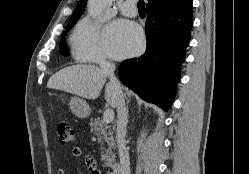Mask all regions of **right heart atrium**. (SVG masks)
Instances as JSON below:
<instances>
[{"label":"right heart atrium","mask_w":249,"mask_h":174,"mask_svg":"<svg viewBox=\"0 0 249 174\" xmlns=\"http://www.w3.org/2000/svg\"><path fill=\"white\" fill-rule=\"evenodd\" d=\"M104 26L101 21L84 18L76 27L73 37V54L78 61L105 63L109 61L103 44Z\"/></svg>","instance_id":"right-heart-atrium-1"}]
</instances>
